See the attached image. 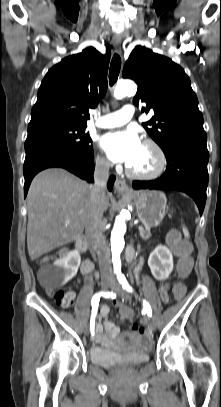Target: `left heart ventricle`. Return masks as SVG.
<instances>
[{
    "instance_id": "left-heart-ventricle-1",
    "label": "left heart ventricle",
    "mask_w": 221,
    "mask_h": 407,
    "mask_svg": "<svg viewBox=\"0 0 221 407\" xmlns=\"http://www.w3.org/2000/svg\"><path fill=\"white\" fill-rule=\"evenodd\" d=\"M159 158L155 150L142 144L136 158L129 164L130 168L138 173H150L156 170Z\"/></svg>"
}]
</instances>
